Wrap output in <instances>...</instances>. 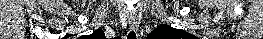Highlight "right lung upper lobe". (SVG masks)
Listing matches in <instances>:
<instances>
[{
    "mask_svg": "<svg viewBox=\"0 0 263 39\" xmlns=\"http://www.w3.org/2000/svg\"><path fill=\"white\" fill-rule=\"evenodd\" d=\"M101 32H102V30H97V31L93 32L89 37H90V38H95V36H96V35H100Z\"/></svg>",
    "mask_w": 263,
    "mask_h": 39,
    "instance_id": "obj_1",
    "label": "right lung upper lobe"
}]
</instances>
